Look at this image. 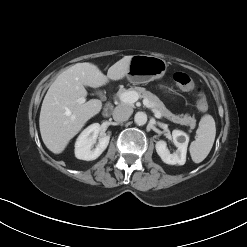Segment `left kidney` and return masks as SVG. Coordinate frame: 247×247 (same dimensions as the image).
Listing matches in <instances>:
<instances>
[{
    "instance_id": "left-kidney-1",
    "label": "left kidney",
    "mask_w": 247,
    "mask_h": 247,
    "mask_svg": "<svg viewBox=\"0 0 247 247\" xmlns=\"http://www.w3.org/2000/svg\"><path fill=\"white\" fill-rule=\"evenodd\" d=\"M173 143L177 150L171 154L167 148V144L163 140L156 142V152L162 161L169 165H184L186 162L187 146L189 137L186 133L180 130H173L172 132Z\"/></svg>"
}]
</instances>
